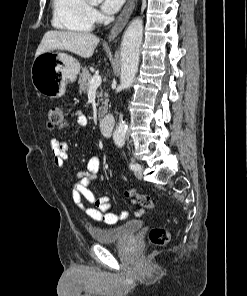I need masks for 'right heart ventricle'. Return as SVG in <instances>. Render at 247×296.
Segmentation results:
<instances>
[{
  "label": "right heart ventricle",
  "instance_id": "right-heart-ventricle-1",
  "mask_svg": "<svg viewBox=\"0 0 247 296\" xmlns=\"http://www.w3.org/2000/svg\"><path fill=\"white\" fill-rule=\"evenodd\" d=\"M52 25L71 32H89L93 27L87 0H52Z\"/></svg>",
  "mask_w": 247,
  "mask_h": 296
}]
</instances>
